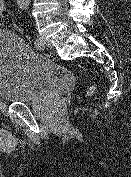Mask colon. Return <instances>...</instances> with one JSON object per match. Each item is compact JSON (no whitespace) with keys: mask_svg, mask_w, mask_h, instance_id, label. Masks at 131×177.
Here are the masks:
<instances>
[{"mask_svg":"<svg viewBox=\"0 0 131 177\" xmlns=\"http://www.w3.org/2000/svg\"><path fill=\"white\" fill-rule=\"evenodd\" d=\"M6 4L5 0H0V19L3 18L4 12H5ZM95 90V85H91L85 92L84 94L86 96L91 95Z\"/></svg>","mask_w":131,"mask_h":177,"instance_id":"obj_1","label":"colon"}]
</instances>
